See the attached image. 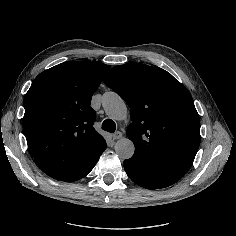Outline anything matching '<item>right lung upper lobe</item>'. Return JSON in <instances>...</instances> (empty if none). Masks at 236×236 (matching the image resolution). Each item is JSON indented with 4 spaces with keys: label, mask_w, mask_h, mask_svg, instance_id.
Returning a JSON list of instances; mask_svg holds the SVG:
<instances>
[{
    "label": "right lung upper lobe",
    "mask_w": 236,
    "mask_h": 236,
    "mask_svg": "<svg viewBox=\"0 0 236 236\" xmlns=\"http://www.w3.org/2000/svg\"><path fill=\"white\" fill-rule=\"evenodd\" d=\"M110 65L70 61L40 73L24 98L28 150L50 177L65 181L107 145L94 129L91 98Z\"/></svg>",
    "instance_id": "right-lung-upper-lobe-1"
}]
</instances>
